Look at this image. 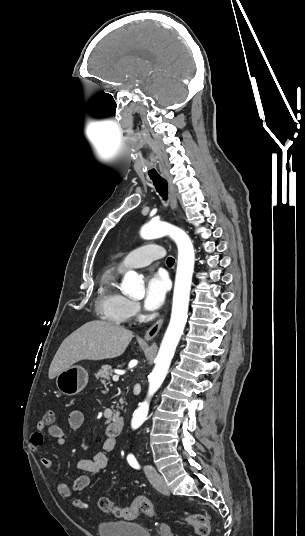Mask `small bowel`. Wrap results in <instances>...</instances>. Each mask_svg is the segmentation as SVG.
I'll list each match as a JSON object with an SVG mask.
<instances>
[{
    "instance_id": "c3829d8e",
    "label": "small bowel",
    "mask_w": 305,
    "mask_h": 536,
    "mask_svg": "<svg viewBox=\"0 0 305 536\" xmlns=\"http://www.w3.org/2000/svg\"><path fill=\"white\" fill-rule=\"evenodd\" d=\"M85 422L84 413L81 410H73L68 416V425L70 429L77 430L83 426ZM54 439L57 446H62L65 442V431L62 427H35L34 432L30 436V446L33 451H38L45 442V432ZM115 448V440L105 438L101 444V451L96 453L92 458H82L76 463L79 470L97 474L105 469L109 464L107 456ZM41 465L45 469H51L53 462L48 457L41 458ZM90 484V478L87 475H82L74 480L71 486L59 484L57 490L59 494L65 498L71 497L73 494L86 489Z\"/></svg>"
}]
</instances>
